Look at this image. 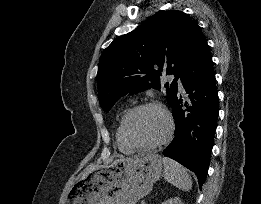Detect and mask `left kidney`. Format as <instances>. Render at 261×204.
Instances as JSON below:
<instances>
[{
	"instance_id": "5707ae66",
	"label": "left kidney",
	"mask_w": 261,
	"mask_h": 204,
	"mask_svg": "<svg viewBox=\"0 0 261 204\" xmlns=\"http://www.w3.org/2000/svg\"><path fill=\"white\" fill-rule=\"evenodd\" d=\"M161 204H184V203L181 201L180 198L174 197L162 202Z\"/></svg>"
}]
</instances>
